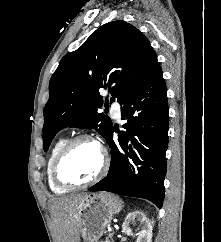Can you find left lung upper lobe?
I'll return each mask as SVG.
<instances>
[{
  "label": "left lung upper lobe",
  "mask_w": 221,
  "mask_h": 242,
  "mask_svg": "<svg viewBox=\"0 0 221 242\" xmlns=\"http://www.w3.org/2000/svg\"><path fill=\"white\" fill-rule=\"evenodd\" d=\"M158 66L149 40L133 25L117 20L99 27L80 48L61 59L51 77L44 108V150L68 126L97 128L106 139L113 124L97 112L104 103L99 89L108 88L111 102L117 99L121 104Z\"/></svg>",
  "instance_id": "left-lung-upper-lobe-1"
}]
</instances>
